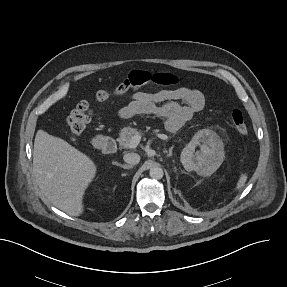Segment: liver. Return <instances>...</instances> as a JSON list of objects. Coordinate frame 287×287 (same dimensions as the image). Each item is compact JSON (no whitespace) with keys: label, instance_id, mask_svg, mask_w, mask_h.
<instances>
[{"label":"liver","instance_id":"1","mask_svg":"<svg viewBox=\"0 0 287 287\" xmlns=\"http://www.w3.org/2000/svg\"><path fill=\"white\" fill-rule=\"evenodd\" d=\"M33 170L44 196L71 216L84 212L85 190L96 175L94 161L65 140L38 130Z\"/></svg>","mask_w":287,"mask_h":287}]
</instances>
